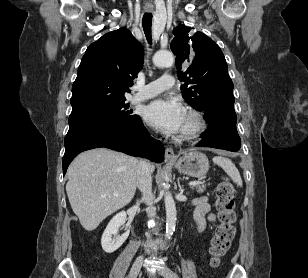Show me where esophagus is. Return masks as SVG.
<instances>
[{
    "label": "esophagus",
    "mask_w": 308,
    "mask_h": 278,
    "mask_svg": "<svg viewBox=\"0 0 308 278\" xmlns=\"http://www.w3.org/2000/svg\"><path fill=\"white\" fill-rule=\"evenodd\" d=\"M165 160L166 161H173V160H175V154H174L173 148L167 147L165 149Z\"/></svg>",
    "instance_id": "1"
}]
</instances>
